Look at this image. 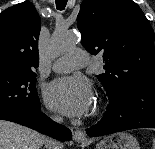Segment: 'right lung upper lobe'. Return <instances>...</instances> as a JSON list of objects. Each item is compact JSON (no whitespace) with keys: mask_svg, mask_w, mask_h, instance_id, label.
<instances>
[{"mask_svg":"<svg viewBox=\"0 0 155 149\" xmlns=\"http://www.w3.org/2000/svg\"><path fill=\"white\" fill-rule=\"evenodd\" d=\"M40 17L25 1L0 14V69L35 71L39 66Z\"/></svg>","mask_w":155,"mask_h":149,"instance_id":"cb5924a9","label":"right lung upper lobe"}]
</instances>
